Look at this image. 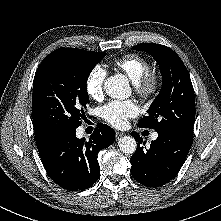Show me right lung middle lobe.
Segmentation results:
<instances>
[{"instance_id":"dd1d6c3e","label":"right lung middle lobe","mask_w":221,"mask_h":221,"mask_svg":"<svg viewBox=\"0 0 221 221\" xmlns=\"http://www.w3.org/2000/svg\"><path fill=\"white\" fill-rule=\"evenodd\" d=\"M104 56V52L60 48L42 61L33 81L34 127L51 134L81 124L89 102L88 76Z\"/></svg>"}]
</instances>
